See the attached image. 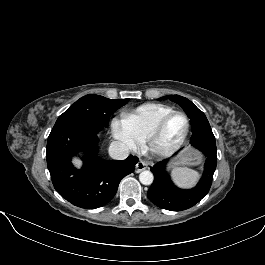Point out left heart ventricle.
I'll return each instance as SVG.
<instances>
[{
	"label": "left heart ventricle",
	"instance_id": "obj_1",
	"mask_svg": "<svg viewBox=\"0 0 265 265\" xmlns=\"http://www.w3.org/2000/svg\"><path fill=\"white\" fill-rule=\"evenodd\" d=\"M186 129V121L184 117L180 115L172 116L166 123L158 143L161 146H168L177 142Z\"/></svg>",
	"mask_w": 265,
	"mask_h": 265
}]
</instances>
